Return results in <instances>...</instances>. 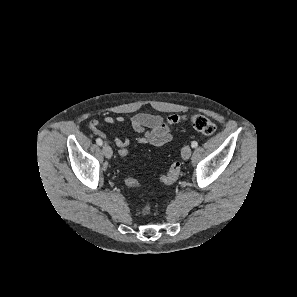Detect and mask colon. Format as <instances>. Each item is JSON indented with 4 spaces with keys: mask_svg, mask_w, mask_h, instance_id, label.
Returning a JSON list of instances; mask_svg holds the SVG:
<instances>
[{
    "mask_svg": "<svg viewBox=\"0 0 297 297\" xmlns=\"http://www.w3.org/2000/svg\"><path fill=\"white\" fill-rule=\"evenodd\" d=\"M182 122H189L192 127L200 132L203 135L210 136L215 133L216 125L214 122L206 117L203 114H194L190 117H184L180 115H171L166 119V123L168 125H178ZM117 155L120 158H127L129 156V151L127 147L122 146L117 150ZM181 170V164L179 162H175L170 166L167 174L160 177V180L164 184H171L178 178ZM125 183L128 187L137 189L140 187V184L137 179L132 176H127L125 178ZM151 212V207L147 203L141 209V213L143 215H148Z\"/></svg>",
    "mask_w": 297,
    "mask_h": 297,
    "instance_id": "obj_1",
    "label": "colon"
}]
</instances>
